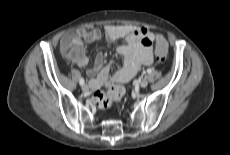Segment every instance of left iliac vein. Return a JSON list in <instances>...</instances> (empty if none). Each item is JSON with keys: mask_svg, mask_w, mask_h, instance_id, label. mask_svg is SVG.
Instances as JSON below:
<instances>
[{"mask_svg": "<svg viewBox=\"0 0 230 155\" xmlns=\"http://www.w3.org/2000/svg\"><path fill=\"white\" fill-rule=\"evenodd\" d=\"M141 88H145L148 86V81L146 79H142L139 83Z\"/></svg>", "mask_w": 230, "mask_h": 155, "instance_id": "left-iliac-vein-1", "label": "left iliac vein"}]
</instances>
